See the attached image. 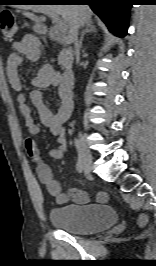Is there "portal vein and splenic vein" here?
I'll list each match as a JSON object with an SVG mask.
<instances>
[{
    "instance_id": "obj_1",
    "label": "portal vein and splenic vein",
    "mask_w": 156,
    "mask_h": 266,
    "mask_svg": "<svg viewBox=\"0 0 156 266\" xmlns=\"http://www.w3.org/2000/svg\"><path fill=\"white\" fill-rule=\"evenodd\" d=\"M42 13L47 14L48 16L51 17L52 21L55 23V26L57 27L59 31L64 32L67 30L66 23L62 21L57 14L50 13V12H42Z\"/></svg>"
}]
</instances>
